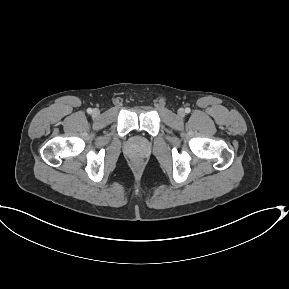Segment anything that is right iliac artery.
Listing matches in <instances>:
<instances>
[{
  "label": "right iliac artery",
  "instance_id": "right-iliac-artery-1",
  "mask_svg": "<svg viewBox=\"0 0 289 289\" xmlns=\"http://www.w3.org/2000/svg\"><path fill=\"white\" fill-rule=\"evenodd\" d=\"M87 112H88L89 114H91V113H92V109H91V108H88V109H87Z\"/></svg>",
  "mask_w": 289,
  "mask_h": 289
}]
</instances>
